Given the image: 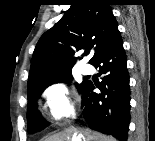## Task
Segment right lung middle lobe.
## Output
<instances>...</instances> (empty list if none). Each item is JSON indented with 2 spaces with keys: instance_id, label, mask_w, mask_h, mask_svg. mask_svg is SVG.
I'll return each mask as SVG.
<instances>
[{
  "instance_id": "right-lung-middle-lobe-1",
  "label": "right lung middle lobe",
  "mask_w": 155,
  "mask_h": 141,
  "mask_svg": "<svg viewBox=\"0 0 155 141\" xmlns=\"http://www.w3.org/2000/svg\"><path fill=\"white\" fill-rule=\"evenodd\" d=\"M71 80V71H69L46 78L28 88L27 130L29 133L37 129L42 130L44 126H46V122L43 120L36 107V101L40 97V94L49 85L58 82L70 83ZM86 82L87 81H82L81 84L76 83L77 89L81 91Z\"/></svg>"
}]
</instances>
